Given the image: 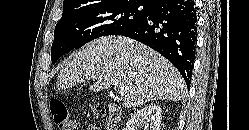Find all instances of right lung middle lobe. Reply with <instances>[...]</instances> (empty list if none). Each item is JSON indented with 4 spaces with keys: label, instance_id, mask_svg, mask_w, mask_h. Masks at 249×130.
I'll return each mask as SVG.
<instances>
[{
    "label": "right lung middle lobe",
    "instance_id": "right-lung-middle-lobe-1",
    "mask_svg": "<svg viewBox=\"0 0 249 130\" xmlns=\"http://www.w3.org/2000/svg\"><path fill=\"white\" fill-rule=\"evenodd\" d=\"M149 7L148 3L137 0H112L63 12L55 27L51 47L52 64L65 53L91 40L106 35H119L144 20Z\"/></svg>",
    "mask_w": 249,
    "mask_h": 130
}]
</instances>
